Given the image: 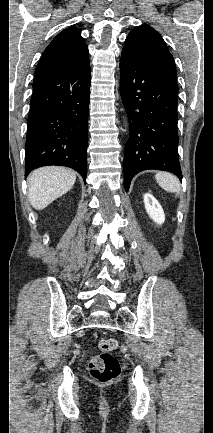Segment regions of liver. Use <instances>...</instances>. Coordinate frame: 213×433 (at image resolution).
Wrapping results in <instances>:
<instances>
[{"mask_svg":"<svg viewBox=\"0 0 213 433\" xmlns=\"http://www.w3.org/2000/svg\"><path fill=\"white\" fill-rule=\"evenodd\" d=\"M27 181L30 204L42 210L73 187L76 174L65 167L47 166L32 171Z\"/></svg>","mask_w":213,"mask_h":433,"instance_id":"obj_1","label":"liver"}]
</instances>
